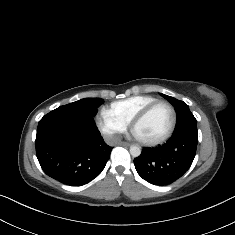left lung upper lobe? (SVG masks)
Here are the masks:
<instances>
[{"instance_id": "5c2ea615", "label": "left lung upper lobe", "mask_w": 235, "mask_h": 235, "mask_svg": "<svg viewBox=\"0 0 235 235\" xmlns=\"http://www.w3.org/2000/svg\"><path fill=\"white\" fill-rule=\"evenodd\" d=\"M168 101H170L176 110L177 113V124L174 130L173 135L189 132V133H197V120L189 110V107L183 101L177 100L174 97L163 95Z\"/></svg>"}]
</instances>
